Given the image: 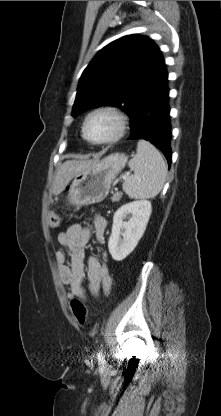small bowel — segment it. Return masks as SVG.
<instances>
[{
  "label": "small bowel",
  "mask_w": 221,
  "mask_h": 416,
  "mask_svg": "<svg viewBox=\"0 0 221 416\" xmlns=\"http://www.w3.org/2000/svg\"><path fill=\"white\" fill-rule=\"evenodd\" d=\"M106 227V218L95 215L90 225L74 223L67 230L58 233L57 241L60 247L54 255L61 280L68 287L69 299L85 298V275L88 290L92 295L98 296L101 291L109 293L112 277L106 254L92 255L86 259V248L91 237L94 236L98 243H103Z\"/></svg>",
  "instance_id": "c3829d8e"
}]
</instances>
